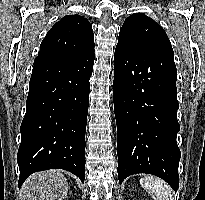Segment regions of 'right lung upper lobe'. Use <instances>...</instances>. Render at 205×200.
Masks as SVG:
<instances>
[{
  "label": "right lung upper lobe",
  "instance_id": "cb5924a9",
  "mask_svg": "<svg viewBox=\"0 0 205 200\" xmlns=\"http://www.w3.org/2000/svg\"><path fill=\"white\" fill-rule=\"evenodd\" d=\"M94 50V34L88 20L66 15L47 33L37 58L69 59Z\"/></svg>",
  "mask_w": 205,
  "mask_h": 200
}]
</instances>
